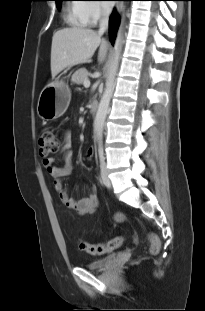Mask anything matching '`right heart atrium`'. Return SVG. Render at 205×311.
Masks as SVG:
<instances>
[{
  "mask_svg": "<svg viewBox=\"0 0 205 311\" xmlns=\"http://www.w3.org/2000/svg\"><path fill=\"white\" fill-rule=\"evenodd\" d=\"M83 8L89 23H96L108 14L107 9L103 5L95 3V1L86 4Z\"/></svg>",
  "mask_w": 205,
  "mask_h": 311,
  "instance_id": "d8ad5b80",
  "label": "right heart atrium"
}]
</instances>
